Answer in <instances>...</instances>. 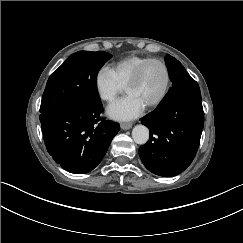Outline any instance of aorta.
Listing matches in <instances>:
<instances>
[{
  "label": "aorta",
  "instance_id": "762f6f07",
  "mask_svg": "<svg viewBox=\"0 0 243 243\" xmlns=\"http://www.w3.org/2000/svg\"><path fill=\"white\" fill-rule=\"evenodd\" d=\"M132 139L138 145H144L149 140V130L143 126L138 125L132 130Z\"/></svg>",
  "mask_w": 243,
  "mask_h": 243
}]
</instances>
